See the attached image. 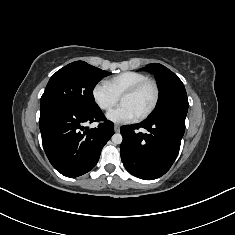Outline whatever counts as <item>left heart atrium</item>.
Masks as SVG:
<instances>
[{
    "label": "left heart atrium",
    "instance_id": "1",
    "mask_svg": "<svg viewBox=\"0 0 235 235\" xmlns=\"http://www.w3.org/2000/svg\"><path fill=\"white\" fill-rule=\"evenodd\" d=\"M107 118L115 123H130L139 118V115L128 105L121 104L107 114Z\"/></svg>",
    "mask_w": 235,
    "mask_h": 235
}]
</instances>
